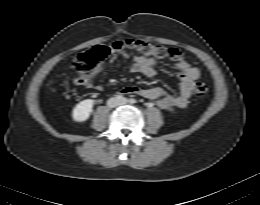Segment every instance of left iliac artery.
<instances>
[{
  "instance_id": "left-iliac-artery-1",
  "label": "left iliac artery",
  "mask_w": 260,
  "mask_h": 205,
  "mask_svg": "<svg viewBox=\"0 0 260 205\" xmlns=\"http://www.w3.org/2000/svg\"><path fill=\"white\" fill-rule=\"evenodd\" d=\"M130 103H132V104L136 103V100L132 98V99H130Z\"/></svg>"
}]
</instances>
